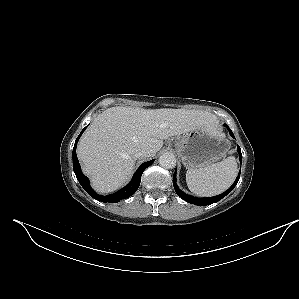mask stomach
Listing matches in <instances>:
<instances>
[{
  "label": "stomach",
  "mask_w": 299,
  "mask_h": 299,
  "mask_svg": "<svg viewBox=\"0 0 299 299\" xmlns=\"http://www.w3.org/2000/svg\"><path fill=\"white\" fill-rule=\"evenodd\" d=\"M230 146V141L218 128L203 126L182 136L175 149L186 168L201 169L222 159Z\"/></svg>",
  "instance_id": "0dacf381"
}]
</instances>
